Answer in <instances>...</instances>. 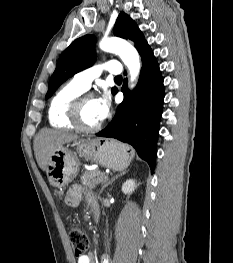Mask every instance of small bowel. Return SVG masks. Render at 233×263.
<instances>
[{
  "label": "small bowel",
  "mask_w": 233,
  "mask_h": 263,
  "mask_svg": "<svg viewBox=\"0 0 233 263\" xmlns=\"http://www.w3.org/2000/svg\"><path fill=\"white\" fill-rule=\"evenodd\" d=\"M83 190L79 185H74L69 188V190L66 193L65 196V202L70 206H76L79 204L81 197H82ZM87 203L89 207L93 210L95 206H97V202L93 195L87 193L86 194ZM98 207V206H97ZM110 262V256L108 253H104L101 256V263H109ZM77 263H95L94 256L90 252L88 254H85L82 257L77 258Z\"/></svg>",
  "instance_id": "c3829d8e"
}]
</instances>
